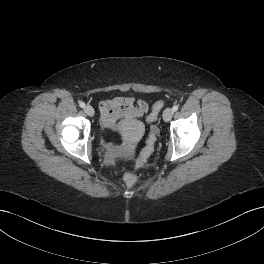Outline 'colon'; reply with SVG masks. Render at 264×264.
Instances as JSON below:
<instances>
[{"instance_id":"obj_1","label":"colon","mask_w":264,"mask_h":264,"mask_svg":"<svg viewBox=\"0 0 264 264\" xmlns=\"http://www.w3.org/2000/svg\"><path fill=\"white\" fill-rule=\"evenodd\" d=\"M163 105H164L163 100H158L154 104L151 113L147 117V122L149 124H152L157 120L159 112L162 109ZM155 142H156L155 129L152 128L150 130L149 135H148V138L146 141V146L140 154L139 162H138L139 167H141L145 164L146 160L148 159L149 155L152 153V151L154 149ZM123 179H124V182L127 186H132L137 181V174L135 172H126Z\"/></svg>"}]
</instances>
